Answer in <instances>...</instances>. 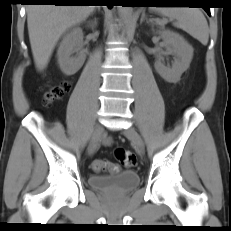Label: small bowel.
Returning a JSON list of instances; mask_svg holds the SVG:
<instances>
[{
	"instance_id": "1",
	"label": "small bowel",
	"mask_w": 231,
	"mask_h": 231,
	"mask_svg": "<svg viewBox=\"0 0 231 231\" xmlns=\"http://www.w3.org/2000/svg\"><path fill=\"white\" fill-rule=\"evenodd\" d=\"M106 143H107V144H109V143H110V141L108 140V141H106Z\"/></svg>"
}]
</instances>
